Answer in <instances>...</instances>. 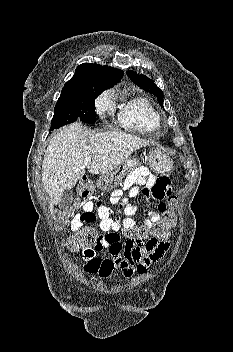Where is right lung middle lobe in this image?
<instances>
[{"instance_id": "1", "label": "right lung middle lobe", "mask_w": 233, "mask_h": 352, "mask_svg": "<svg viewBox=\"0 0 233 352\" xmlns=\"http://www.w3.org/2000/svg\"><path fill=\"white\" fill-rule=\"evenodd\" d=\"M104 90L106 88L100 86H86L71 94H61L54 109L50 130L58 129L76 120L94 123L95 99Z\"/></svg>"}]
</instances>
